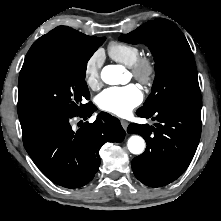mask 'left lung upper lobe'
Wrapping results in <instances>:
<instances>
[{
  "mask_svg": "<svg viewBox=\"0 0 221 221\" xmlns=\"http://www.w3.org/2000/svg\"><path fill=\"white\" fill-rule=\"evenodd\" d=\"M119 40L143 43L149 46L154 56L156 76L142 109L157 103L202 107L193 53L184 34L173 22L155 19L122 35Z\"/></svg>",
  "mask_w": 221,
  "mask_h": 221,
  "instance_id": "5c2ea615",
  "label": "left lung upper lobe"
}]
</instances>
